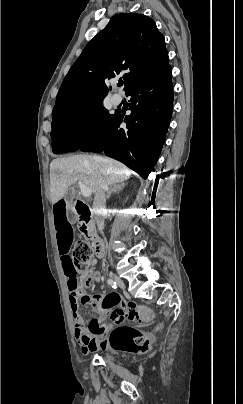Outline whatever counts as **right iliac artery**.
I'll use <instances>...</instances> for the list:
<instances>
[{
	"label": "right iliac artery",
	"instance_id": "right-iliac-artery-1",
	"mask_svg": "<svg viewBox=\"0 0 243 404\" xmlns=\"http://www.w3.org/2000/svg\"><path fill=\"white\" fill-rule=\"evenodd\" d=\"M108 284L112 287V288H117V283L115 281H113L112 279H108Z\"/></svg>",
	"mask_w": 243,
	"mask_h": 404
}]
</instances>
